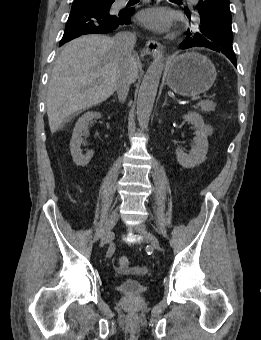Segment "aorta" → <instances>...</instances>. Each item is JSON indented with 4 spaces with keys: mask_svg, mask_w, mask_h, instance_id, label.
<instances>
[{
    "mask_svg": "<svg viewBox=\"0 0 261 340\" xmlns=\"http://www.w3.org/2000/svg\"><path fill=\"white\" fill-rule=\"evenodd\" d=\"M163 52L150 64L142 80L137 97V121L144 130L148 127L156 98L160 78L163 71Z\"/></svg>",
    "mask_w": 261,
    "mask_h": 340,
    "instance_id": "aorta-1",
    "label": "aorta"
}]
</instances>
